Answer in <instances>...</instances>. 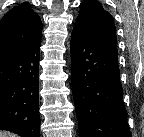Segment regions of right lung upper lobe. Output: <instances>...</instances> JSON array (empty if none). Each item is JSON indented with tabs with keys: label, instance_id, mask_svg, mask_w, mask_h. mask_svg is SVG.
<instances>
[{
	"label": "right lung upper lobe",
	"instance_id": "obj_1",
	"mask_svg": "<svg viewBox=\"0 0 144 137\" xmlns=\"http://www.w3.org/2000/svg\"><path fill=\"white\" fill-rule=\"evenodd\" d=\"M41 32V19L28 3L12 8L0 22V58L30 45Z\"/></svg>",
	"mask_w": 144,
	"mask_h": 137
}]
</instances>
